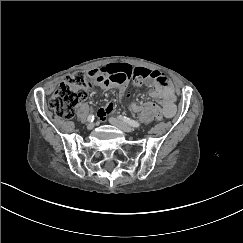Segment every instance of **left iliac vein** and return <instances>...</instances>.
Listing matches in <instances>:
<instances>
[{"label":"left iliac vein","instance_id":"left-iliac-vein-1","mask_svg":"<svg viewBox=\"0 0 243 243\" xmlns=\"http://www.w3.org/2000/svg\"><path fill=\"white\" fill-rule=\"evenodd\" d=\"M109 122L124 132H133L134 131V128H132L131 126H129L125 123H122L121 121H119L116 118H113V117L109 118Z\"/></svg>","mask_w":243,"mask_h":243}]
</instances>
